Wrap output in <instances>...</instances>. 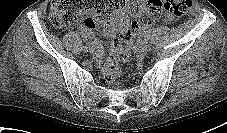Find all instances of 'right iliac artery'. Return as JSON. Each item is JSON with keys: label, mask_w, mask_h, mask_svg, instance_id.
I'll use <instances>...</instances> for the list:
<instances>
[{"label": "right iliac artery", "mask_w": 227, "mask_h": 133, "mask_svg": "<svg viewBox=\"0 0 227 133\" xmlns=\"http://www.w3.org/2000/svg\"><path fill=\"white\" fill-rule=\"evenodd\" d=\"M87 46H82V50L86 51Z\"/></svg>", "instance_id": "right-iliac-artery-1"}]
</instances>
